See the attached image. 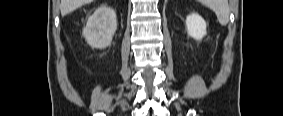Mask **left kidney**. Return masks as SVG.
<instances>
[{"instance_id":"obj_1","label":"left kidney","mask_w":283,"mask_h":116,"mask_svg":"<svg viewBox=\"0 0 283 116\" xmlns=\"http://www.w3.org/2000/svg\"><path fill=\"white\" fill-rule=\"evenodd\" d=\"M186 26L188 34L196 40H200L206 35V22L196 13L187 16Z\"/></svg>"}]
</instances>
